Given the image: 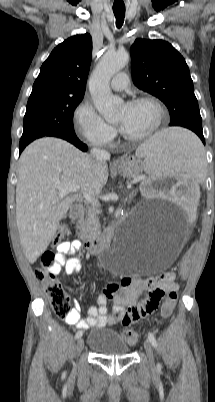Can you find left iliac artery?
<instances>
[{"label": "left iliac artery", "mask_w": 215, "mask_h": 402, "mask_svg": "<svg viewBox=\"0 0 215 402\" xmlns=\"http://www.w3.org/2000/svg\"><path fill=\"white\" fill-rule=\"evenodd\" d=\"M148 339H149L150 343H151L154 347H157V341H156V338H155V336H154L153 333H149V334H148ZM158 366H160V365H158Z\"/></svg>", "instance_id": "44dca946"}]
</instances>
